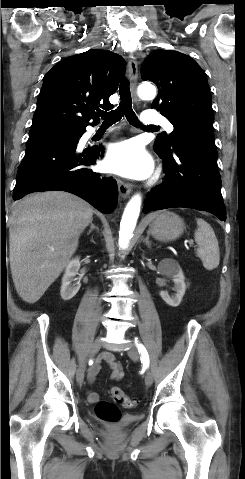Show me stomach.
Listing matches in <instances>:
<instances>
[{
	"mask_svg": "<svg viewBox=\"0 0 245 479\" xmlns=\"http://www.w3.org/2000/svg\"><path fill=\"white\" fill-rule=\"evenodd\" d=\"M183 220L172 212L159 214L150 224L149 233L161 242H168L178 238L184 231Z\"/></svg>",
	"mask_w": 245,
	"mask_h": 479,
	"instance_id": "obj_1",
	"label": "stomach"
}]
</instances>
